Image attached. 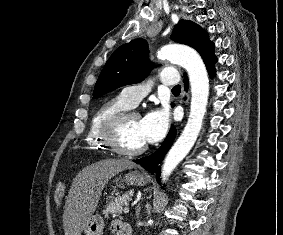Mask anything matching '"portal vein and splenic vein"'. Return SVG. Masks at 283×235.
<instances>
[{
    "mask_svg": "<svg viewBox=\"0 0 283 235\" xmlns=\"http://www.w3.org/2000/svg\"><path fill=\"white\" fill-rule=\"evenodd\" d=\"M129 212V205H126L124 208V213H128Z\"/></svg>",
    "mask_w": 283,
    "mask_h": 235,
    "instance_id": "18ae733b",
    "label": "portal vein and splenic vein"
}]
</instances>
